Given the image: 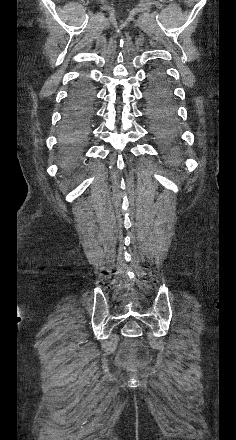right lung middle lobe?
<instances>
[{"mask_svg": "<svg viewBox=\"0 0 236 440\" xmlns=\"http://www.w3.org/2000/svg\"><path fill=\"white\" fill-rule=\"evenodd\" d=\"M94 91L90 85H86L73 93L71 98L79 97L82 99V105L79 113L80 118L77 125L63 128L60 141L63 151L74 158L78 154V146L85 140L88 133V120L92 113V101Z\"/></svg>", "mask_w": 236, "mask_h": 440, "instance_id": "obj_1", "label": "right lung middle lobe"}]
</instances>
